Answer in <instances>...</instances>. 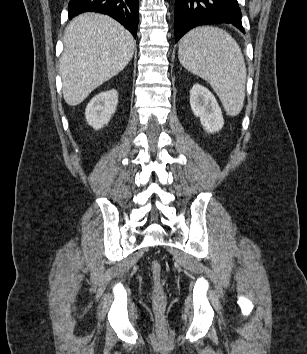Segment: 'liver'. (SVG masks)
<instances>
[{
    "label": "liver",
    "mask_w": 307,
    "mask_h": 354,
    "mask_svg": "<svg viewBox=\"0 0 307 354\" xmlns=\"http://www.w3.org/2000/svg\"><path fill=\"white\" fill-rule=\"evenodd\" d=\"M60 58L63 97L76 106L121 72L136 46L131 33L111 17L83 13L67 25Z\"/></svg>",
    "instance_id": "1"
}]
</instances>
